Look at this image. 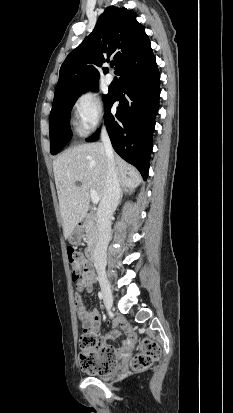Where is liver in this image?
Here are the masks:
<instances>
[{"instance_id":"obj_1","label":"liver","mask_w":233,"mask_h":413,"mask_svg":"<svg viewBox=\"0 0 233 413\" xmlns=\"http://www.w3.org/2000/svg\"><path fill=\"white\" fill-rule=\"evenodd\" d=\"M114 162L122 187L133 189L140 184L142 178L134 167L118 155H114ZM107 164L104 145L98 142L69 148L54 159L53 172L65 239L86 216L90 189L102 199Z\"/></svg>"}]
</instances>
